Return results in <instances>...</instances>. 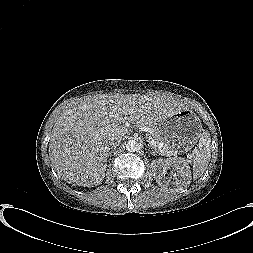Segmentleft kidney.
I'll use <instances>...</instances> for the list:
<instances>
[{
  "label": "left kidney",
  "instance_id": "left-kidney-1",
  "mask_svg": "<svg viewBox=\"0 0 253 253\" xmlns=\"http://www.w3.org/2000/svg\"><path fill=\"white\" fill-rule=\"evenodd\" d=\"M154 175L158 184L163 187H173L176 190H183L191 182V170L184 159H158L152 162ZM172 168L173 178L168 179L166 170Z\"/></svg>",
  "mask_w": 253,
  "mask_h": 253
}]
</instances>
